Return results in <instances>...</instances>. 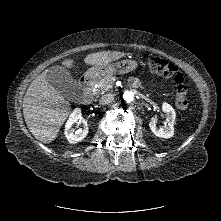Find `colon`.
<instances>
[{
	"instance_id": "obj_1",
	"label": "colon",
	"mask_w": 221,
	"mask_h": 221,
	"mask_svg": "<svg viewBox=\"0 0 221 221\" xmlns=\"http://www.w3.org/2000/svg\"><path fill=\"white\" fill-rule=\"evenodd\" d=\"M147 66L155 73L172 78L176 85V105L181 110H186L189 107V100L187 98V86L185 84V77L179 71L178 67L161 57H149L146 59Z\"/></svg>"
}]
</instances>
